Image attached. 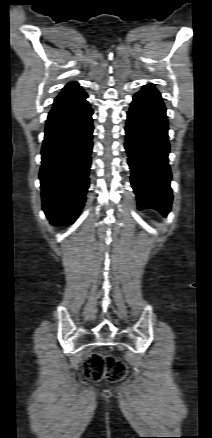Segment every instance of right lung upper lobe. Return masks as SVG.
<instances>
[{
	"label": "right lung upper lobe",
	"instance_id": "cb5924a9",
	"mask_svg": "<svg viewBox=\"0 0 212 438\" xmlns=\"http://www.w3.org/2000/svg\"><path fill=\"white\" fill-rule=\"evenodd\" d=\"M84 90L76 82L67 84L62 92L56 97L55 101L68 99L84 94Z\"/></svg>",
	"mask_w": 212,
	"mask_h": 438
}]
</instances>
